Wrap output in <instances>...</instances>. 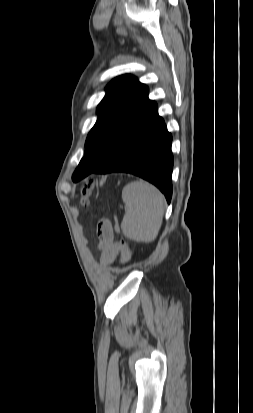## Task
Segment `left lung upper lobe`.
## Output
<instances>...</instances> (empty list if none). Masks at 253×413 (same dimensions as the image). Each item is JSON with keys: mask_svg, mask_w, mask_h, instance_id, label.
I'll list each match as a JSON object with an SVG mask.
<instances>
[{"mask_svg": "<svg viewBox=\"0 0 253 413\" xmlns=\"http://www.w3.org/2000/svg\"><path fill=\"white\" fill-rule=\"evenodd\" d=\"M151 103L148 88L136 77L123 75L113 79L98 105V119L87 136L84 157L73 173V181H79L107 162L120 140L121 123L137 117Z\"/></svg>", "mask_w": 253, "mask_h": 413, "instance_id": "left-lung-upper-lobe-1", "label": "left lung upper lobe"}]
</instances>
